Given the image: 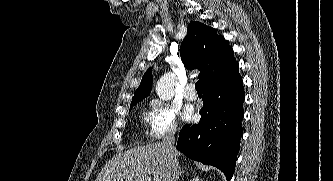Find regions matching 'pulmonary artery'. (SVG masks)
<instances>
[{
    "mask_svg": "<svg viewBox=\"0 0 333 181\" xmlns=\"http://www.w3.org/2000/svg\"><path fill=\"white\" fill-rule=\"evenodd\" d=\"M184 97L185 99L189 100V101H195L197 99V94L194 91V87L192 84H189L185 91H184Z\"/></svg>",
    "mask_w": 333,
    "mask_h": 181,
    "instance_id": "obj_1",
    "label": "pulmonary artery"
}]
</instances>
